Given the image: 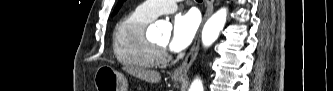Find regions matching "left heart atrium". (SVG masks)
<instances>
[{"mask_svg": "<svg viewBox=\"0 0 333 91\" xmlns=\"http://www.w3.org/2000/svg\"><path fill=\"white\" fill-rule=\"evenodd\" d=\"M199 27V18L193 12L175 17L168 47L172 52H180L193 41Z\"/></svg>", "mask_w": 333, "mask_h": 91, "instance_id": "1", "label": "left heart atrium"}]
</instances>
